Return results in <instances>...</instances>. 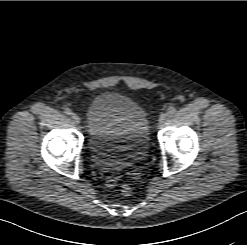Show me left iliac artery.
Here are the masks:
<instances>
[{
  "label": "left iliac artery",
  "instance_id": "obj_1",
  "mask_svg": "<svg viewBox=\"0 0 247 245\" xmlns=\"http://www.w3.org/2000/svg\"><path fill=\"white\" fill-rule=\"evenodd\" d=\"M176 112V108L174 106H171L167 110L168 115H173Z\"/></svg>",
  "mask_w": 247,
  "mask_h": 245
}]
</instances>
